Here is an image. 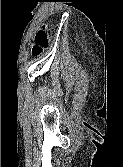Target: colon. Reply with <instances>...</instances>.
Here are the masks:
<instances>
[{"instance_id":"obj_1","label":"colon","mask_w":123,"mask_h":167,"mask_svg":"<svg viewBox=\"0 0 123 167\" xmlns=\"http://www.w3.org/2000/svg\"><path fill=\"white\" fill-rule=\"evenodd\" d=\"M48 39H49V34L47 27L38 30V32L35 35L34 43L31 49L32 55L34 57H39L42 55L44 49L48 45Z\"/></svg>"}]
</instances>
